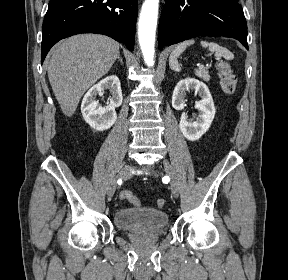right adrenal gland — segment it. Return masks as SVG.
<instances>
[{
  "label": "right adrenal gland",
  "mask_w": 288,
  "mask_h": 280,
  "mask_svg": "<svg viewBox=\"0 0 288 280\" xmlns=\"http://www.w3.org/2000/svg\"><path fill=\"white\" fill-rule=\"evenodd\" d=\"M118 61H119L121 64H123V60H122V58L120 57V55L118 56Z\"/></svg>",
  "instance_id": "obj_1"
}]
</instances>
